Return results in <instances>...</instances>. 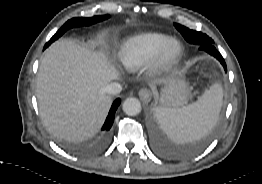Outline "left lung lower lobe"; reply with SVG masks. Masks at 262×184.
<instances>
[{
    "mask_svg": "<svg viewBox=\"0 0 262 184\" xmlns=\"http://www.w3.org/2000/svg\"><path fill=\"white\" fill-rule=\"evenodd\" d=\"M200 50H204L217 58L224 70L227 71L226 63L222 55L216 50L213 44L200 45ZM150 139L153 149L162 157L167 159H189L200 152L207 146L208 139H194L186 142L171 141L168 134L163 129L161 122L156 115H151L149 122ZM173 140V139H172Z\"/></svg>",
    "mask_w": 262,
    "mask_h": 184,
    "instance_id": "0a47b994",
    "label": "left lung lower lobe"
}]
</instances>
